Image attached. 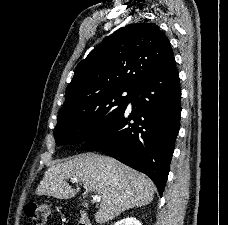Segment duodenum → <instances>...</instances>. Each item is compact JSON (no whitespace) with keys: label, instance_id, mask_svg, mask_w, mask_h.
Here are the masks:
<instances>
[{"label":"duodenum","instance_id":"obj_1","mask_svg":"<svg viewBox=\"0 0 228 225\" xmlns=\"http://www.w3.org/2000/svg\"><path fill=\"white\" fill-rule=\"evenodd\" d=\"M77 225H91V220L87 214V212L79 207V216H78V219H77Z\"/></svg>","mask_w":228,"mask_h":225}]
</instances>
